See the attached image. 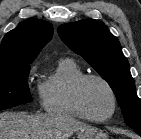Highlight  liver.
<instances>
[{
  "label": "liver",
  "mask_w": 141,
  "mask_h": 139,
  "mask_svg": "<svg viewBox=\"0 0 141 139\" xmlns=\"http://www.w3.org/2000/svg\"><path fill=\"white\" fill-rule=\"evenodd\" d=\"M87 127V124L61 113L0 114V139H69L75 132Z\"/></svg>",
  "instance_id": "obj_1"
}]
</instances>
